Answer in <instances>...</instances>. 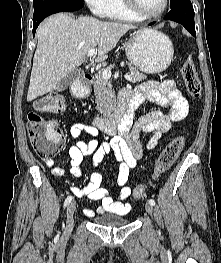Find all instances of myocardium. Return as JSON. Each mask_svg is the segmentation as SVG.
Segmentation results:
<instances>
[{
    "label": "myocardium",
    "instance_id": "1",
    "mask_svg": "<svg viewBox=\"0 0 221 263\" xmlns=\"http://www.w3.org/2000/svg\"><path fill=\"white\" fill-rule=\"evenodd\" d=\"M124 3L126 5V7L139 19L141 20H149V19H155L159 16H161L168 8L169 6V0H164V4L162 6V8L152 14H145L141 11L137 0H124Z\"/></svg>",
    "mask_w": 221,
    "mask_h": 263
}]
</instances>
